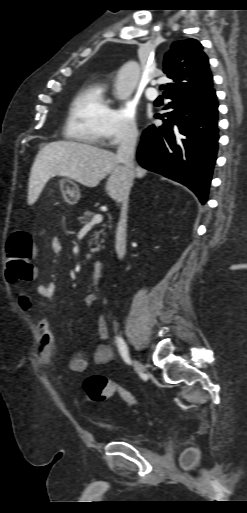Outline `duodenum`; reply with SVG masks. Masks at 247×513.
Instances as JSON below:
<instances>
[{"instance_id": "410a0bca", "label": "duodenum", "mask_w": 247, "mask_h": 513, "mask_svg": "<svg viewBox=\"0 0 247 513\" xmlns=\"http://www.w3.org/2000/svg\"><path fill=\"white\" fill-rule=\"evenodd\" d=\"M104 272V263L102 261H96L93 265L92 270V281L93 282H99L103 276Z\"/></svg>"}]
</instances>
